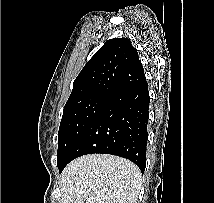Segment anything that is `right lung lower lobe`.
I'll list each match as a JSON object with an SVG mask.
<instances>
[{
  "label": "right lung lower lobe",
  "mask_w": 214,
  "mask_h": 203,
  "mask_svg": "<svg viewBox=\"0 0 214 203\" xmlns=\"http://www.w3.org/2000/svg\"><path fill=\"white\" fill-rule=\"evenodd\" d=\"M149 103L146 80L111 97L73 146L60 172L79 156L103 153L129 159L144 173Z\"/></svg>",
  "instance_id": "obj_1"
}]
</instances>
